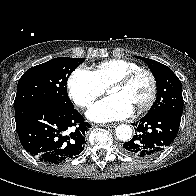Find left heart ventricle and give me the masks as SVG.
<instances>
[{
  "mask_svg": "<svg viewBox=\"0 0 196 196\" xmlns=\"http://www.w3.org/2000/svg\"><path fill=\"white\" fill-rule=\"evenodd\" d=\"M151 83L146 75H141L125 87H112L108 90L111 96H119L136 109L149 97Z\"/></svg>",
  "mask_w": 196,
  "mask_h": 196,
  "instance_id": "obj_1",
  "label": "left heart ventricle"
}]
</instances>
